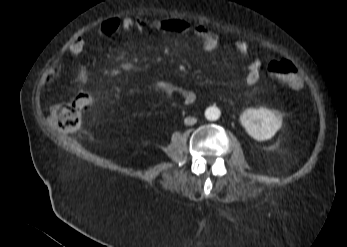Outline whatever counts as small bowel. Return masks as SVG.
<instances>
[{
    "instance_id": "small-bowel-1",
    "label": "small bowel",
    "mask_w": 347,
    "mask_h": 247,
    "mask_svg": "<svg viewBox=\"0 0 347 247\" xmlns=\"http://www.w3.org/2000/svg\"><path fill=\"white\" fill-rule=\"evenodd\" d=\"M154 29V30H167L176 32H191L200 41L202 48L207 52H215L221 47V42L218 35L209 29L204 24L190 25L181 20H171L165 22L154 23L150 20H145L138 17L129 18H110L107 19L100 30L103 35L112 37L120 31L142 30V29ZM234 49L240 57H247L249 53V44L245 40H238L234 43ZM85 48V41L78 37L70 42L68 51L74 55H79ZM261 68V61L259 59H251L248 63V71L245 76V83L249 86L255 85L259 80V71ZM63 73V66L58 63L54 65L47 73L45 78L46 85L50 86L60 80ZM78 85V93L84 90L85 84L89 81L88 76L80 72L76 78ZM156 89L164 92L168 95H179L184 104L190 105L196 101V93L188 88L179 86L173 82L167 80H157L154 83ZM77 93V94H78Z\"/></svg>"
}]
</instances>
